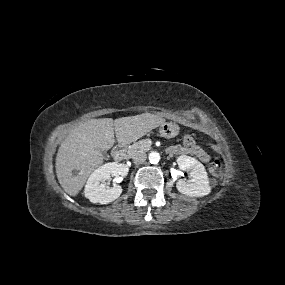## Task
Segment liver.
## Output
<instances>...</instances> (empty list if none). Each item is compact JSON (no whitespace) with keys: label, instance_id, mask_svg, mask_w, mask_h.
Segmentation results:
<instances>
[{"label":"liver","instance_id":"1","mask_svg":"<svg viewBox=\"0 0 285 285\" xmlns=\"http://www.w3.org/2000/svg\"><path fill=\"white\" fill-rule=\"evenodd\" d=\"M164 121L160 116L143 113L115 120L91 119L79 124L66 136L57 152L55 168L61 187L70 196H76L90 174L103 163L101 151L112 148L114 134L118 143L125 146Z\"/></svg>","mask_w":285,"mask_h":285}]
</instances>
